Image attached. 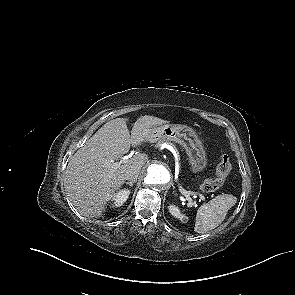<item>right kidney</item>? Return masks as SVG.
Here are the masks:
<instances>
[{
	"mask_svg": "<svg viewBox=\"0 0 295 295\" xmlns=\"http://www.w3.org/2000/svg\"><path fill=\"white\" fill-rule=\"evenodd\" d=\"M130 192L128 190H120L119 192H117L116 194H114L113 196V200H114V205L116 207H120L121 205H123V203L126 202V200L129 197Z\"/></svg>",
	"mask_w": 295,
	"mask_h": 295,
	"instance_id": "ca27d5eb",
	"label": "right kidney"
}]
</instances>
